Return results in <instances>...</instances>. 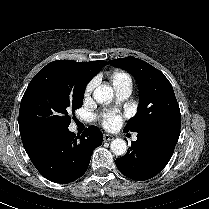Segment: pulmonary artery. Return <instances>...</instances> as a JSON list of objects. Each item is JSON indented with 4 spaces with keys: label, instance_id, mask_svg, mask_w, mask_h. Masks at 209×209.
I'll return each instance as SVG.
<instances>
[{
    "label": "pulmonary artery",
    "instance_id": "pulmonary-artery-1",
    "mask_svg": "<svg viewBox=\"0 0 209 209\" xmlns=\"http://www.w3.org/2000/svg\"><path fill=\"white\" fill-rule=\"evenodd\" d=\"M116 97L118 101H123L127 99L131 94V85H123L115 87ZM137 137L133 136V140H136Z\"/></svg>",
    "mask_w": 209,
    "mask_h": 209
}]
</instances>
